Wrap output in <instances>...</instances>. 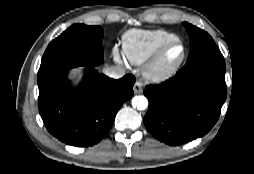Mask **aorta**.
I'll return each instance as SVG.
<instances>
[{
    "label": "aorta",
    "instance_id": "obj_1",
    "mask_svg": "<svg viewBox=\"0 0 254 174\" xmlns=\"http://www.w3.org/2000/svg\"><path fill=\"white\" fill-rule=\"evenodd\" d=\"M132 105L138 110H145L148 107V100L145 96H136L132 100Z\"/></svg>",
    "mask_w": 254,
    "mask_h": 174
}]
</instances>
